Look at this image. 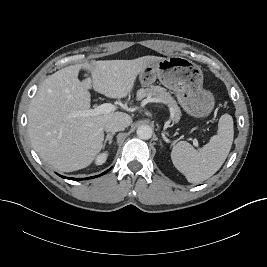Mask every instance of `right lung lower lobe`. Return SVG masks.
<instances>
[{"label": "right lung lower lobe", "instance_id": "obj_1", "mask_svg": "<svg viewBox=\"0 0 267 267\" xmlns=\"http://www.w3.org/2000/svg\"><path fill=\"white\" fill-rule=\"evenodd\" d=\"M109 170H110V169H109ZM109 170L103 172L101 175H104V174L107 173ZM101 175H98V176H101ZM61 177H63V178H67V179H71V180H80V179H76V178H68V177H64V176H61ZM95 177H97V176H95ZM91 178H94V177H91Z\"/></svg>", "mask_w": 267, "mask_h": 267}]
</instances>
